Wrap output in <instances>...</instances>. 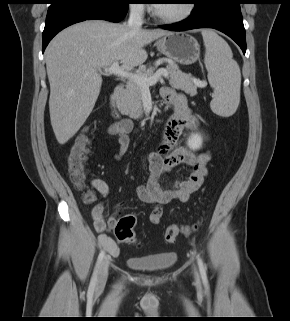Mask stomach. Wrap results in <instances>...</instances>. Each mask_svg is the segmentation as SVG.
<instances>
[{"label":"stomach","instance_id":"stomach-1","mask_svg":"<svg viewBox=\"0 0 290 321\" xmlns=\"http://www.w3.org/2000/svg\"><path fill=\"white\" fill-rule=\"evenodd\" d=\"M160 53L182 65L195 63L200 56L198 41L186 32H169L156 42Z\"/></svg>","mask_w":290,"mask_h":321}]
</instances>
